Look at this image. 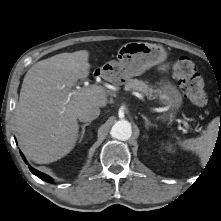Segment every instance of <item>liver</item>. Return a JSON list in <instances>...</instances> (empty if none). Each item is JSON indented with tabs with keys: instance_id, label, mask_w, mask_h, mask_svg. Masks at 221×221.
Returning <instances> with one entry per match:
<instances>
[{
	"instance_id": "6515ba94",
	"label": "liver",
	"mask_w": 221,
	"mask_h": 221,
	"mask_svg": "<svg viewBox=\"0 0 221 221\" xmlns=\"http://www.w3.org/2000/svg\"><path fill=\"white\" fill-rule=\"evenodd\" d=\"M88 59L87 50L57 54L34 64L23 79L15 111L17 138L25 155L37 164L66 156L78 138V113L89 105L107 104L105 93L73 89L89 76Z\"/></svg>"
}]
</instances>
